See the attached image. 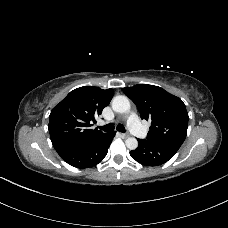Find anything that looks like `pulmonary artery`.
<instances>
[{
  "mask_svg": "<svg viewBox=\"0 0 228 228\" xmlns=\"http://www.w3.org/2000/svg\"><path fill=\"white\" fill-rule=\"evenodd\" d=\"M129 129L139 138H146L147 133L145 129L140 124V121L136 114L132 113L128 118Z\"/></svg>",
  "mask_w": 228,
  "mask_h": 228,
  "instance_id": "obj_1",
  "label": "pulmonary artery"
}]
</instances>
